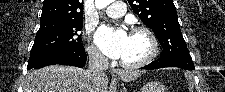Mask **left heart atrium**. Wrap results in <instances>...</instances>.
<instances>
[{
  "label": "left heart atrium",
  "mask_w": 225,
  "mask_h": 92,
  "mask_svg": "<svg viewBox=\"0 0 225 92\" xmlns=\"http://www.w3.org/2000/svg\"><path fill=\"white\" fill-rule=\"evenodd\" d=\"M128 37L124 28L102 26L97 32L96 42L106 56L119 59L125 53Z\"/></svg>",
  "instance_id": "1"
}]
</instances>
